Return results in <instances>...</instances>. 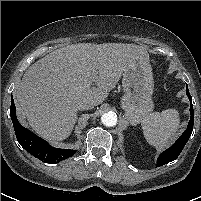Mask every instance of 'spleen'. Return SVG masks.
Returning <instances> with one entry per match:
<instances>
[{"instance_id":"obj_1","label":"spleen","mask_w":201,"mask_h":201,"mask_svg":"<svg viewBox=\"0 0 201 201\" xmlns=\"http://www.w3.org/2000/svg\"><path fill=\"white\" fill-rule=\"evenodd\" d=\"M179 124L176 109L153 112L142 121L143 134L151 145L163 148L175 137Z\"/></svg>"}]
</instances>
